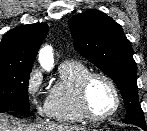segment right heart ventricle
I'll return each instance as SVG.
<instances>
[{"label": "right heart ventricle", "instance_id": "obj_1", "mask_svg": "<svg viewBox=\"0 0 147 131\" xmlns=\"http://www.w3.org/2000/svg\"><path fill=\"white\" fill-rule=\"evenodd\" d=\"M90 73L81 62H65L59 68V78L52 85L48 98L49 117L59 123L84 122L78 103V87L81 80Z\"/></svg>", "mask_w": 147, "mask_h": 131}]
</instances>
